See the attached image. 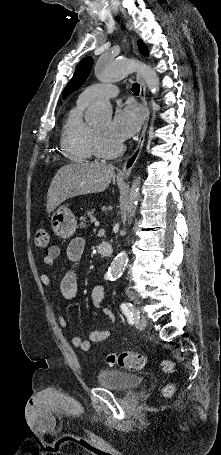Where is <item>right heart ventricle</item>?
<instances>
[{"label":"right heart ventricle","mask_w":221,"mask_h":455,"mask_svg":"<svg viewBox=\"0 0 221 455\" xmlns=\"http://www.w3.org/2000/svg\"><path fill=\"white\" fill-rule=\"evenodd\" d=\"M88 104L79 97L67 113L61 131V150L74 162H85L94 156L91 146V126L82 117Z\"/></svg>","instance_id":"obj_1"}]
</instances>
